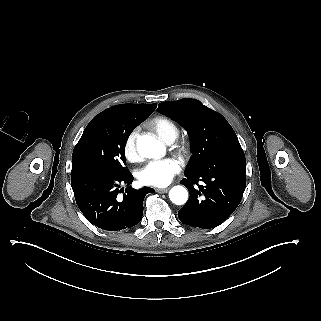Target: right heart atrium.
<instances>
[{
    "label": "right heart atrium",
    "mask_w": 321,
    "mask_h": 321,
    "mask_svg": "<svg viewBox=\"0 0 321 321\" xmlns=\"http://www.w3.org/2000/svg\"><path fill=\"white\" fill-rule=\"evenodd\" d=\"M138 130L132 129L123 141V154L129 161H137L142 157V153L137 145Z\"/></svg>",
    "instance_id": "obj_1"
}]
</instances>
